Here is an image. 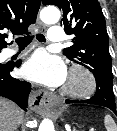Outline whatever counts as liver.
<instances>
[{
	"instance_id": "obj_1",
	"label": "liver",
	"mask_w": 117,
	"mask_h": 131,
	"mask_svg": "<svg viewBox=\"0 0 117 131\" xmlns=\"http://www.w3.org/2000/svg\"><path fill=\"white\" fill-rule=\"evenodd\" d=\"M22 119L23 112L16 104L0 98V131H16Z\"/></svg>"
}]
</instances>
